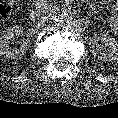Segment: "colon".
I'll use <instances>...</instances> for the list:
<instances>
[{"mask_svg":"<svg viewBox=\"0 0 118 118\" xmlns=\"http://www.w3.org/2000/svg\"><path fill=\"white\" fill-rule=\"evenodd\" d=\"M13 0H0V21L5 20L11 13Z\"/></svg>","mask_w":118,"mask_h":118,"instance_id":"1","label":"colon"}]
</instances>
